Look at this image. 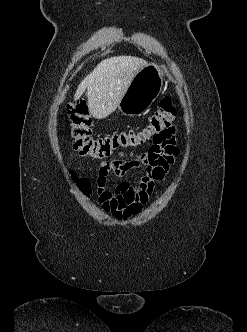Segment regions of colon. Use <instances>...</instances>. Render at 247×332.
I'll return each instance as SVG.
<instances>
[{
	"instance_id": "1",
	"label": "colon",
	"mask_w": 247,
	"mask_h": 332,
	"mask_svg": "<svg viewBox=\"0 0 247 332\" xmlns=\"http://www.w3.org/2000/svg\"><path fill=\"white\" fill-rule=\"evenodd\" d=\"M175 116L176 107L172 99L166 96L142 129L125 130L102 137H94L88 106L84 101L79 100L69 107L73 148L81 156L102 159L109 158L123 150L139 147L149 140L153 141L152 146L163 145L169 142L175 134L173 125ZM78 186L84 193H88L90 190V183L86 179H80Z\"/></svg>"
}]
</instances>
